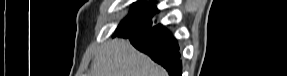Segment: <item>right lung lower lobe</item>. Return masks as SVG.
Returning <instances> with one entry per match:
<instances>
[{"instance_id":"98d812e1","label":"right lung lower lobe","mask_w":287,"mask_h":76,"mask_svg":"<svg viewBox=\"0 0 287 76\" xmlns=\"http://www.w3.org/2000/svg\"><path fill=\"white\" fill-rule=\"evenodd\" d=\"M125 38H129L133 46L166 68L170 76H181L178 44L163 26L157 25L141 34H132Z\"/></svg>"}]
</instances>
